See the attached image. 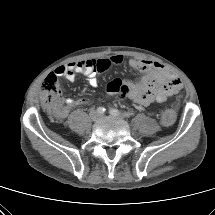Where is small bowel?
I'll return each mask as SVG.
<instances>
[{"instance_id": "c3829d8e", "label": "small bowel", "mask_w": 215, "mask_h": 215, "mask_svg": "<svg viewBox=\"0 0 215 215\" xmlns=\"http://www.w3.org/2000/svg\"><path fill=\"white\" fill-rule=\"evenodd\" d=\"M122 63L123 56L121 55L98 60L74 61L56 68L53 74L62 76L70 82L76 79L77 74H83L87 76L90 86L97 87L98 74L103 73L112 65ZM129 65L142 72V78L133 83L120 79L110 81L106 88L109 95H118L120 98L130 99L138 105L148 106L155 102H164L170 95L182 88L180 79L161 63L142 58H130ZM65 103V109L57 114L59 118H63L70 108L88 105L89 100L67 98Z\"/></svg>"}]
</instances>
